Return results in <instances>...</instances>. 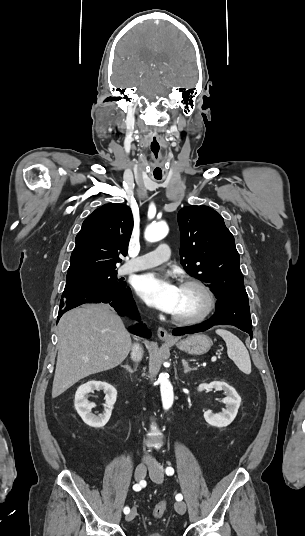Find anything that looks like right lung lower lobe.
Listing matches in <instances>:
<instances>
[{
    "label": "right lung lower lobe",
    "instance_id": "1",
    "mask_svg": "<svg viewBox=\"0 0 305 536\" xmlns=\"http://www.w3.org/2000/svg\"><path fill=\"white\" fill-rule=\"evenodd\" d=\"M85 303H109L119 315H128L133 319L139 320L138 311L129 287L113 293L92 290L64 291L60 301L58 320L66 311ZM129 329L133 334L147 338L151 337V331L145 325L138 324L137 326L129 327Z\"/></svg>",
    "mask_w": 305,
    "mask_h": 536
}]
</instances>
